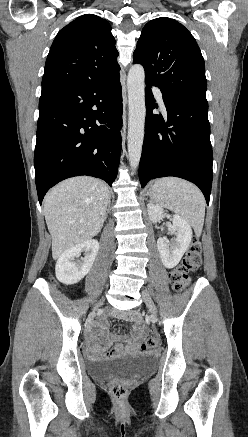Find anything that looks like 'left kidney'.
<instances>
[{
    "mask_svg": "<svg viewBox=\"0 0 248 437\" xmlns=\"http://www.w3.org/2000/svg\"><path fill=\"white\" fill-rule=\"evenodd\" d=\"M148 214L153 223L160 222L163 219V207L159 204L150 202L147 205ZM172 227L169 234H175L176 237L168 242L167 238L160 237L157 240V249L160 254L163 265L171 269L181 260L182 256L189 247L192 240V230L189 224L180 216L174 215L172 218Z\"/></svg>",
    "mask_w": 248,
    "mask_h": 437,
    "instance_id": "obj_1",
    "label": "left kidney"
}]
</instances>
